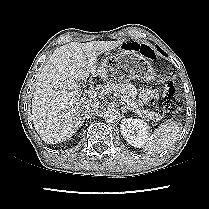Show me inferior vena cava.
<instances>
[{
  "mask_svg": "<svg viewBox=\"0 0 209 209\" xmlns=\"http://www.w3.org/2000/svg\"><path fill=\"white\" fill-rule=\"evenodd\" d=\"M100 107V102L98 100H87L84 105V110L86 113L92 115L98 111Z\"/></svg>",
  "mask_w": 209,
  "mask_h": 209,
  "instance_id": "1",
  "label": "inferior vena cava"
}]
</instances>
